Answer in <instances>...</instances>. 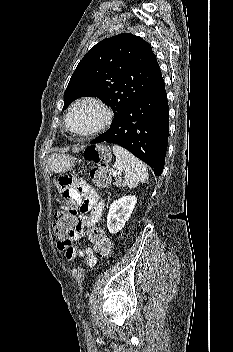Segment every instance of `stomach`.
<instances>
[{"mask_svg": "<svg viewBox=\"0 0 233 352\" xmlns=\"http://www.w3.org/2000/svg\"><path fill=\"white\" fill-rule=\"evenodd\" d=\"M74 161L69 155L54 153L48 159V167L51 171L60 173L70 169Z\"/></svg>", "mask_w": 233, "mask_h": 352, "instance_id": "1", "label": "stomach"}]
</instances>
